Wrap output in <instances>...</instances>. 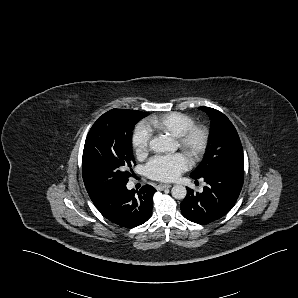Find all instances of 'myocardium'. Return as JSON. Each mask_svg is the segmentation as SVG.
I'll return each mask as SVG.
<instances>
[{
    "instance_id": "f54148a6",
    "label": "myocardium",
    "mask_w": 298,
    "mask_h": 298,
    "mask_svg": "<svg viewBox=\"0 0 298 298\" xmlns=\"http://www.w3.org/2000/svg\"><path fill=\"white\" fill-rule=\"evenodd\" d=\"M169 140L174 141L180 149H183L188 142L192 141V149L185 155L186 159L192 162L198 157L204 147L205 131L199 126H187L172 132Z\"/></svg>"
}]
</instances>
